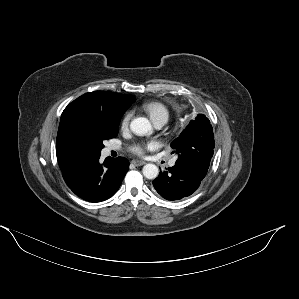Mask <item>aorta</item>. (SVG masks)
Here are the masks:
<instances>
[{
  "label": "aorta",
  "instance_id": "aorta-1",
  "mask_svg": "<svg viewBox=\"0 0 299 299\" xmlns=\"http://www.w3.org/2000/svg\"><path fill=\"white\" fill-rule=\"evenodd\" d=\"M130 129L138 136L150 135L153 130L149 120L144 117H137L133 119L130 123ZM142 173L147 179H155L159 174V169L155 164L149 163L143 167Z\"/></svg>",
  "mask_w": 299,
  "mask_h": 299
}]
</instances>
